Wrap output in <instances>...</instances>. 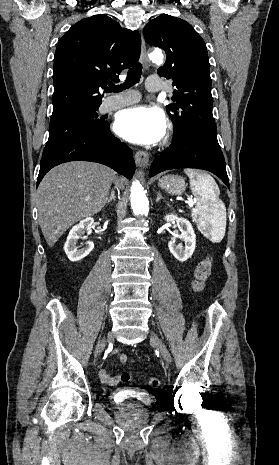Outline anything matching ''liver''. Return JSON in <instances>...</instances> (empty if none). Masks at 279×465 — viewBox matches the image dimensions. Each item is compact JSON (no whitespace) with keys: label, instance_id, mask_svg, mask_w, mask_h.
Wrapping results in <instances>:
<instances>
[{"label":"liver","instance_id":"6515ba94","mask_svg":"<svg viewBox=\"0 0 279 465\" xmlns=\"http://www.w3.org/2000/svg\"><path fill=\"white\" fill-rule=\"evenodd\" d=\"M112 182L123 188V179L98 163L72 161L51 169L37 191L39 224L47 244L52 247L73 224L100 212Z\"/></svg>","mask_w":279,"mask_h":465}]
</instances>
